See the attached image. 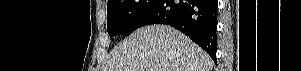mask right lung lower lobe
<instances>
[{
	"label": "right lung lower lobe",
	"mask_w": 301,
	"mask_h": 71,
	"mask_svg": "<svg viewBox=\"0 0 301 71\" xmlns=\"http://www.w3.org/2000/svg\"><path fill=\"white\" fill-rule=\"evenodd\" d=\"M217 0H157L139 27L167 24L188 35L216 63Z\"/></svg>",
	"instance_id": "obj_1"
}]
</instances>
